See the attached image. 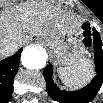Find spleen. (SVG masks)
Wrapping results in <instances>:
<instances>
[{"label":"spleen","mask_w":103,"mask_h":103,"mask_svg":"<svg viewBox=\"0 0 103 103\" xmlns=\"http://www.w3.org/2000/svg\"><path fill=\"white\" fill-rule=\"evenodd\" d=\"M62 82L70 89H78L86 85L94 76L92 62L81 59L78 63L57 69Z\"/></svg>","instance_id":"3e777b00"}]
</instances>
